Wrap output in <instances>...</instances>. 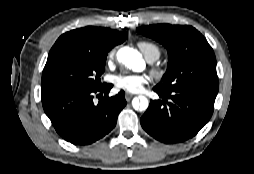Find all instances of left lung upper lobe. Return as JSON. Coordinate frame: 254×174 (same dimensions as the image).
<instances>
[{
  "instance_id": "left-lung-upper-lobe-1",
  "label": "left lung upper lobe",
  "mask_w": 254,
  "mask_h": 174,
  "mask_svg": "<svg viewBox=\"0 0 254 174\" xmlns=\"http://www.w3.org/2000/svg\"><path fill=\"white\" fill-rule=\"evenodd\" d=\"M137 32L163 44L168 51V68L161 83L163 92L184 87L218 92L216 58L204 36L187 25L158 24L137 28Z\"/></svg>"
}]
</instances>
